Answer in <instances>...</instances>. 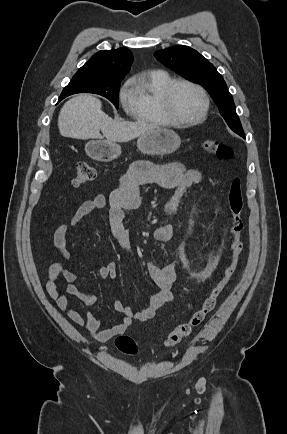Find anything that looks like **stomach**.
<instances>
[{
    "instance_id": "1",
    "label": "stomach",
    "mask_w": 287,
    "mask_h": 434,
    "mask_svg": "<svg viewBox=\"0 0 287 434\" xmlns=\"http://www.w3.org/2000/svg\"><path fill=\"white\" fill-rule=\"evenodd\" d=\"M181 144L180 137L173 130L157 127L138 137L137 147L146 155H166L176 151ZM86 153L94 160L109 162L121 154L120 145L110 141H90Z\"/></svg>"
}]
</instances>
